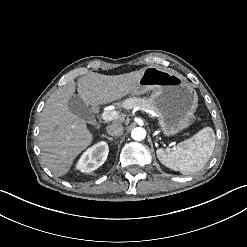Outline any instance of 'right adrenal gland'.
<instances>
[{"label":"right adrenal gland","mask_w":247,"mask_h":247,"mask_svg":"<svg viewBox=\"0 0 247 247\" xmlns=\"http://www.w3.org/2000/svg\"><path fill=\"white\" fill-rule=\"evenodd\" d=\"M102 136L105 137V138H107V139L110 140V141H112V139H113L111 136H107V135H105V134H102Z\"/></svg>","instance_id":"right-adrenal-gland-1"}]
</instances>
